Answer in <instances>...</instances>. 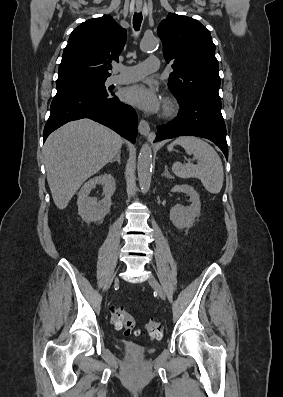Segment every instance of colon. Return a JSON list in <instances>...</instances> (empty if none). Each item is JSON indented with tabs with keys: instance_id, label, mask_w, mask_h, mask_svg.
<instances>
[{
	"instance_id": "obj_1",
	"label": "colon",
	"mask_w": 283,
	"mask_h": 397,
	"mask_svg": "<svg viewBox=\"0 0 283 397\" xmlns=\"http://www.w3.org/2000/svg\"><path fill=\"white\" fill-rule=\"evenodd\" d=\"M112 322L117 329H124L127 335L141 333L136 327L134 316L122 306L113 307ZM144 332L149 338L158 339L162 334V325L158 321L151 320L146 323Z\"/></svg>"
}]
</instances>
